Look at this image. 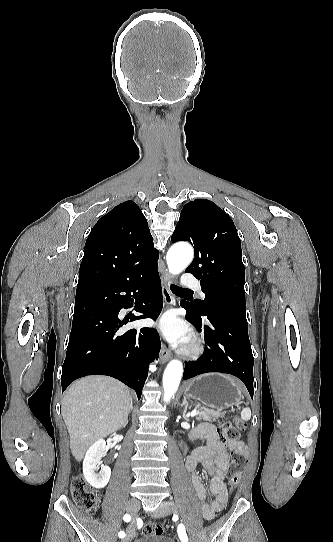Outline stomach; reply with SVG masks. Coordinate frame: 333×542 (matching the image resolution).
Returning <instances> with one entry per match:
<instances>
[{"instance_id": "stomach-1", "label": "stomach", "mask_w": 333, "mask_h": 542, "mask_svg": "<svg viewBox=\"0 0 333 542\" xmlns=\"http://www.w3.org/2000/svg\"><path fill=\"white\" fill-rule=\"evenodd\" d=\"M185 396L199 400L204 406L218 412L233 408L242 398L239 380L223 374H202L185 382Z\"/></svg>"}]
</instances>
